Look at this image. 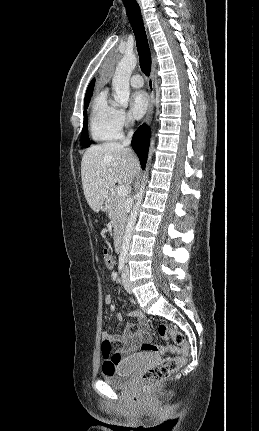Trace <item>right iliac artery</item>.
Segmentation results:
<instances>
[{
    "label": "right iliac artery",
    "mask_w": 259,
    "mask_h": 431,
    "mask_svg": "<svg viewBox=\"0 0 259 431\" xmlns=\"http://www.w3.org/2000/svg\"><path fill=\"white\" fill-rule=\"evenodd\" d=\"M125 261H126L125 255L121 254L119 257V264H118V269L120 272L124 269Z\"/></svg>",
    "instance_id": "1"
}]
</instances>
